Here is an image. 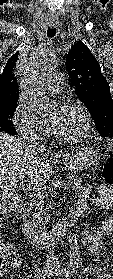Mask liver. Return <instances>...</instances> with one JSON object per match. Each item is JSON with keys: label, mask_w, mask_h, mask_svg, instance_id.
Segmentation results:
<instances>
[{"label": "liver", "mask_w": 113, "mask_h": 279, "mask_svg": "<svg viewBox=\"0 0 113 279\" xmlns=\"http://www.w3.org/2000/svg\"><path fill=\"white\" fill-rule=\"evenodd\" d=\"M61 156H64L63 152L50 159L56 162ZM48 158L44 151L27 146L19 138L0 133V209L15 191L20 174L27 176L34 186L49 180L52 169Z\"/></svg>", "instance_id": "liver-1"}]
</instances>
